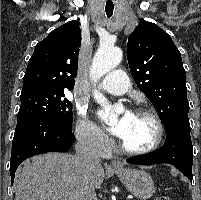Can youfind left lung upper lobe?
<instances>
[{
	"instance_id": "left-lung-upper-lobe-1",
	"label": "left lung upper lobe",
	"mask_w": 201,
	"mask_h": 200,
	"mask_svg": "<svg viewBox=\"0 0 201 200\" xmlns=\"http://www.w3.org/2000/svg\"><path fill=\"white\" fill-rule=\"evenodd\" d=\"M127 53L132 77L155 107L165 130L189 124L185 69L171 37L142 20L129 36Z\"/></svg>"
}]
</instances>
